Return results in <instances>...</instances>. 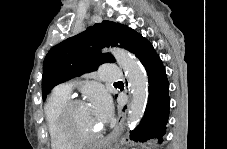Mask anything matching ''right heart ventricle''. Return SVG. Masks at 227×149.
Masks as SVG:
<instances>
[{
    "instance_id": "obj_1",
    "label": "right heart ventricle",
    "mask_w": 227,
    "mask_h": 149,
    "mask_svg": "<svg viewBox=\"0 0 227 149\" xmlns=\"http://www.w3.org/2000/svg\"><path fill=\"white\" fill-rule=\"evenodd\" d=\"M69 100L68 94L55 90L45 104V119L52 149H69L73 146L63 137L59 127V113Z\"/></svg>"
}]
</instances>
